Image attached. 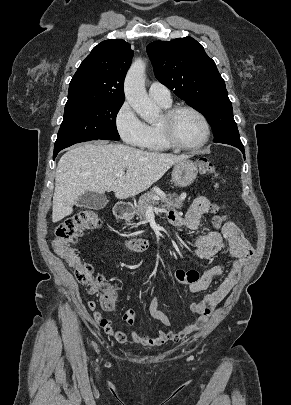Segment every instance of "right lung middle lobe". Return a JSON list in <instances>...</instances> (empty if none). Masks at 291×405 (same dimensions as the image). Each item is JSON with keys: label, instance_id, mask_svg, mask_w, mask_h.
<instances>
[{"label": "right lung middle lobe", "instance_id": "dd1d6c3e", "mask_svg": "<svg viewBox=\"0 0 291 405\" xmlns=\"http://www.w3.org/2000/svg\"><path fill=\"white\" fill-rule=\"evenodd\" d=\"M121 101H81L66 104L53 157L75 143L103 139L120 140L116 116Z\"/></svg>", "mask_w": 291, "mask_h": 405}]
</instances>
